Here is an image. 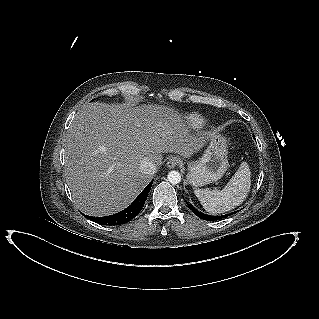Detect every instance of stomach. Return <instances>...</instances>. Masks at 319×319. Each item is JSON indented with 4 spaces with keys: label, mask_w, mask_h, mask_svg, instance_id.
I'll return each instance as SVG.
<instances>
[{
    "label": "stomach",
    "mask_w": 319,
    "mask_h": 319,
    "mask_svg": "<svg viewBox=\"0 0 319 319\" xmlns=\"http://www.w3.org/2000/svg\"><path fill=\"white\" fill-rule=\"evenodd\" d=\"M227 141L217 132L209 134V145L202 157L188 164L187 180L194 187H201L219 180L227 170Z\"/></svg>",
    "instance_id": "0dacf381"
}]
</instances>
